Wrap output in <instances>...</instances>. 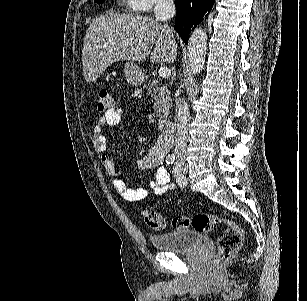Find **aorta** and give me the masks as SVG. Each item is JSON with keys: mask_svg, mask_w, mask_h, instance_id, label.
Returning a JSON list of instances; mask_svg holds the SVG:
<instances>
[{"mask_svg": "<svg viewBox=\"0 0 307 301\" xmlns=\"http://www.w3.org/2000/svg\"><path fill=\"white\" fill-rule=\"evenodd\" d=\"M207 34L202 28H195L188 40V58L192 74H199L203 70L206 56Z\"/></svg>", "mask_w": 307, "mask_h": 301, "instance_id": "aorta-1", "label": "aorta"}]
</instances>
